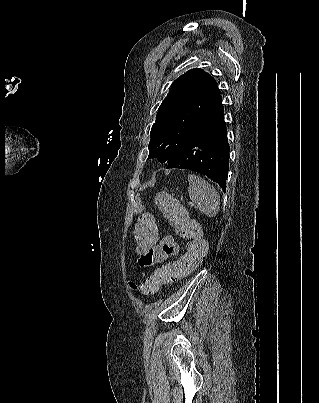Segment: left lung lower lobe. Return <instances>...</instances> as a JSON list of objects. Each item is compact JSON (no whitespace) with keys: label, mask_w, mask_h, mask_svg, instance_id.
<instances>
[{"label":"left lung lower lobe","mask_w":319,"mask_h":403,"mask_svg":"<svg viewBox=\"0 0 319 403\" xmlns=\"http://www.w3.org/2000/svg\"><path fill=\"white\" fill-rule=\"evenodd\" d=\"M229 151L219 95L193 126L187 140L170 159L166 168L197 171L211 178L226 191Z\"/></svg>","instance_id":"1"}]
</instances>
